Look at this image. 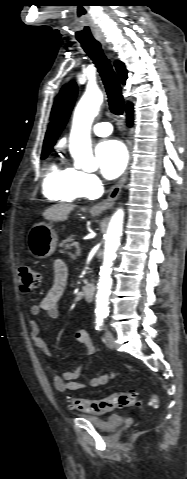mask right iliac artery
Segmentation results:
<instances>
[{"mask_svg": "<svg viewBox=\"0 0 187 479\" xmlns=\"http://www.w3.org/2000/svg\"><path fill=\"white\" fill-rule=\"evenodd\" d=\"M104 316H98L96 318V330H101L102 329V326H103V321H104Z\"/></svg>", "mask_w": 187, "mask_h": 479, "instance_id": "obj_1", "label": "right iliac artery"}]
</instances>
